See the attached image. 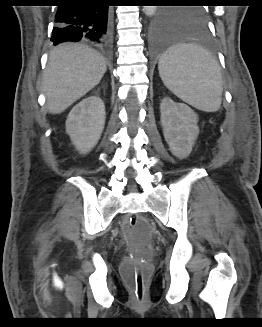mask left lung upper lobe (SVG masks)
<instances>
[{
    "instance_id": "left-lung-upper-lobe-1",
    "label": "left lung upper lobe",
    "mask_w": 262,
    "mask_h": 327,
    "mask_svg": "<svg viewBox=\"0 0 262 327\" xmlns=\"http://www.w3.org/2000/svg\"><path fill=\"white\" fill-rule=\"evenodd\" d=\"M168 18L179 25L202 26L205 25V13L202 7H187L182 9L166 10Z\"/></svg>"
}]
</instances>
